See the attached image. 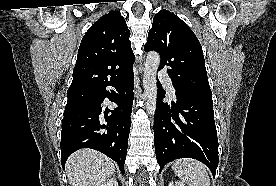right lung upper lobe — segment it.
<instances>
[{
  "mask_svg": "<svg viewBox=\"0 0 276 186\" xmlns=\"http://www.w3.org/2000/svg\"><path fill=\"white\" fill-rule=\"evenodd\" d=\"M129 37L130 31L119 11L103 15L81 40L68 90L104 87L131 73L135 56Z\"/></svg>",
  "mask_w": 276,
  "mask_h": 186,
  "instance_id": "right-lung-upper-lobe-1",
  "label": "right lung upper lobe"
}]
</instances>
